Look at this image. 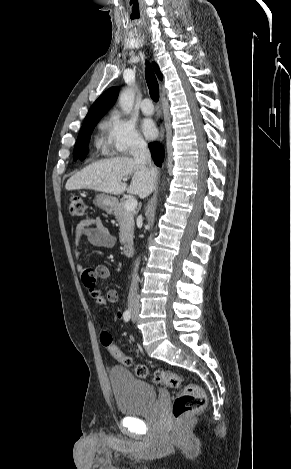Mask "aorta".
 Returning <instances> with one entry per match:
<instances>
[{
  "label": "aorta",
  "instance_id": "1",
  "mask_svg": "<svg viewBox=\"0 0 291 469\" xmlns=\"http://www.w3.org/2000/svg\"><path fill=\"white\" fill-rule=\"evenodd\" d=\"M135 92L132 88H125L119 95V105L124 114L132 111L134 104ZM138 265L136 264V267Z\"/></svg>",
  "mask_w": 291,
  "mask_h": 469
}]
</instances>
